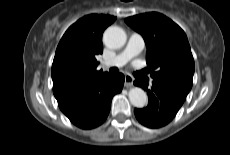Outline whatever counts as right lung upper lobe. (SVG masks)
<instances>
[{"label":"right lung upper lobe","mask_w":230,"mask_h":155,"mask_svg":"<svg viewBox=\"0 0 230 155\" xmlns=\"http://www.w3.org/2000/svg\"><path fill=\"white\" fill-rule=\"evenodd\" d=\"M115 20L114 16L91 14L78 20L65 32L52 64L56 99L79 92L108 75L96 70V57L103 52V31Z\"/></svg>","instance_id":"right-lung-upper-lobe-1"}]
</instances>
